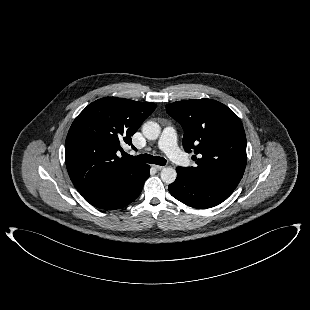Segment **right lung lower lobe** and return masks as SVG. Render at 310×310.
I'll use <instances>...</instances> for the list:
<instances>
[{"label":"right lung lower lobe","mask_w":310,"mask_h":310,"mask_svg":"<svg viewBox=\"0 0 310 310\" xmlns=\"http://www.w3.org/2000/svg\"><path fill=\"white\" fill-rule=\"evenodd\" d=\"M150 166L145 164L130 181L83 197L93 206L106 210L120 209L133 202L141 193L144 182L150 175Z\"/></svg>","instance_id":"1"}]
</instances>
